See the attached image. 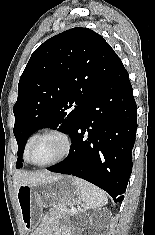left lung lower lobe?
<instances>
[{
    "label": "left lung lower lobe",
    "instance_id": "1",
    "mask_svg": "<svg viewBox=\"0 0 155 235\" xmlns=\"http://www.w3.org/2000/svg\"><path fill=\"white\" fill-rule=\"evenodd\" d=\"M136 130L137 105L128 72L118 60L75 127L68 157L48 170L87 180L121 202L132 171Z\"/></svg>",
    "mask_w": 155,
    "mask_h": 235
}]
</instances>
